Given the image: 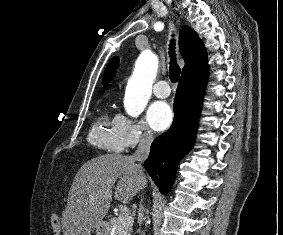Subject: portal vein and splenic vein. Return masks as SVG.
Returning a JSON list of instances; mask_svg holds the SVG:
<instances>
[{"label":"portal vein and splenic vein","instance_id":"1","mask_svg":"<svg viewBox=\"0 0 283 235\" xmlns=\"http://www.w3.org/2000/svg\"><path fill=\"white\" fill-rule=\"evenodd\" d=\"M121 215H129V209L124 205L118 206Z\"/></svg>","mask_w":283,"mask_h":235}]
</instances>
